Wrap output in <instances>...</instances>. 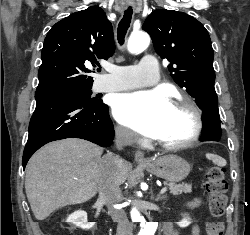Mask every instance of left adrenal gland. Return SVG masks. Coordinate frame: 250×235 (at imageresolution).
Segmentation results:
<instances>
[{
	"label": "left adrenal gland",
	"instance_id": "obj_1",
	"mask_svg": "<svg viewBox=\"0 0 250 235\" xmlns=\"http://www.w3.org/2000/svg\"><path fill=\"white\" fill-rule=\"evenodd\" d=\"M166 197L165 196H158L155 201H160V200H164Z\"/></svg>",
	"mask_w": 250,
	"mask_h": 235
}]
</instances>
